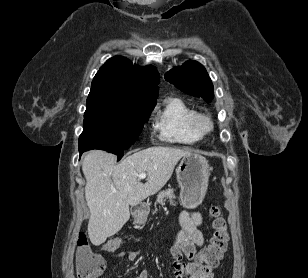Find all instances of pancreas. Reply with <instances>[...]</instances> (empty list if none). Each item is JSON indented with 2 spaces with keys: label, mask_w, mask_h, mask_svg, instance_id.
<instances>
[{
  "label": "pancreas",
  "mask_w": 308,
  "mask_h": 278,
  "mask_svg": "<svg viewBox=\"0 0 308 278\" xmlns=\"http://www.w3.org/2000/svg\"><path fill=\"white\" fill-rule=\"evenodd\" d=\"M166 199H168L171 205H176V202H175L176 196L174 194V189L168 188V189H165L159 192V194L157 195V200L155 204L159 203L163 206L165 205Z\"/></svg>",
  "instance_id": "pancreas-1"
}]
</instances>
